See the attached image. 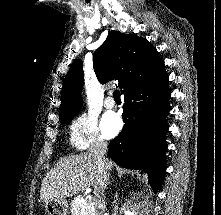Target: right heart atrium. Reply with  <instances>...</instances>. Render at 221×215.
<instances>
[{
  "label": "right heart atrium",
  "mask_w": 221,
  "mask_h": 215,
  "mask_svg": "<svg viewBox=\"0 0 221 215\" xmlns=\"http://www.w3.org/2000/svg\"><path fill=\"white\" fill-rule=\"evenodd\" d=\"M70 140L78 150L102 144L104 138L100 133L97 117L90 112L77 115L70 125Z\"/></svg>",
  "instance_id": "d8ad5b80"
}]
</instances>
